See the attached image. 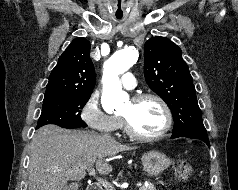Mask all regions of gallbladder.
<instances>
[{
  "mask_svg": "<svg viewBox=\"0 0 238 190\" xmlns=\"http://www.w3.org/2000/svg\"><path fill=\"white\" fill-rule=\"evenodd\" d=\"M67 190H78V185L72 183L67 186Z\"/></svg>",
  "mask_w": 238,
  "mask_h": 190,
  "instance_id": "1",
  "label": "gallbladder"
}]
</instances>
